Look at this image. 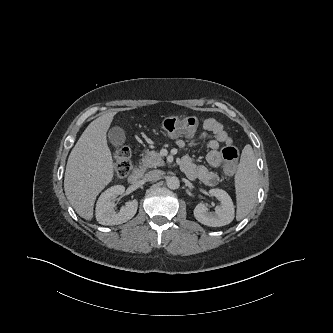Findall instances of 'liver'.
<instances>
[{
  "mask_svg": "<svg viewBox=\"0 0 333 333\" xmlns=\"http://www.w3.org/2000/svg\"><path fill=\"white\" fill-rule=\"evenodd\" d=\"M118 110L92 121L72 149L65 170L64 190L71 206L85 220L93 218L96 197L113 179L114 164L106 133Z\"/></svg>",
  "mask_w": 333,
  "mask_h": 333,
  "instance_id": "obj_1",
  "label": "liver"
}]
</instances>
